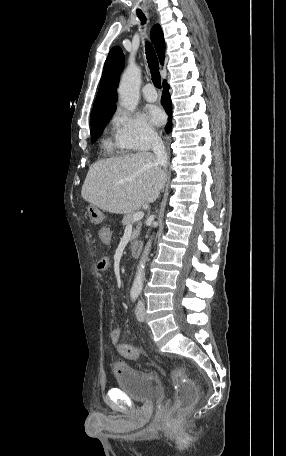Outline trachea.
<instances>
[{
    "label": "trachea",
    "mask_w": 286,
    "mask_h": 456,
    "mask_svg": "<svg viewBox=\"0 0 286 456\" xmlns=\"http://www.w3.org/2000/svg\"><path fill=\"white\" fill-rule=\"evenodd\" d=\"M138 17L142 21V24L145 23L146 18L143 13H137ZM146 58L152 75V81L156 88H161V79L159 74V64L156 53L150 43H146Z\"/></svg>",
    "instance_id": "trachea-1"
}]
</instances>
